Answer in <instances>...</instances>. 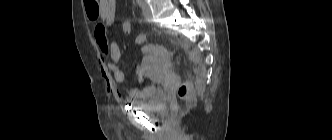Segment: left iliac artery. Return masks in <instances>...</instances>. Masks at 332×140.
Listing matches in <instances>:
<instances>
[{
	"label": "left iliac artery",
	"mask_w": 332,
	"mask_h": 140,
	"mask_svg": "<svg viewBox=\"0 0 332 140\" xmlns=\"http://www.w3.org/2000/svg\"><path fill=\"white\" fill-rule=\"evenodd\" d=\"M137 1V3L140 5L141 4V0H136Z\"/></svg>",
	"instance_id": "left-iliac-artery-1"
}]
</instances>
